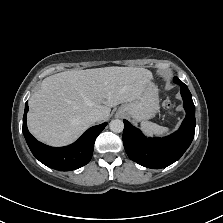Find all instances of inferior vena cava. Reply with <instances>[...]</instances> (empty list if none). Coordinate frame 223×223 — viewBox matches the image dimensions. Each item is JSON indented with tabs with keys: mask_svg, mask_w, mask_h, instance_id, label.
Wrapping results in <instances>:
<instances>
[{
	"mask_svg": "<svg viewBox=\"0 0 223 223\" xmlns=\"http://www.w3.org/2000/svg\"><path fill=\"white\" fill-rule=\"evenodd\" d=\"M89 120L92 122H97L103 120V114L100 110L94 109L89 113Z\"/></svg>",
	"mask_w": 223,
	"mask_h": 223,
	"instance_id": "602c4592",
	"label": "inferior vena cava"
}]
</instances>
